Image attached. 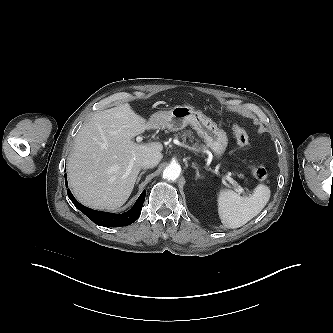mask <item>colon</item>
I'll return each instance as SVG.
<instances>
[{"instance_id":"5ec220e1","label":"colon","mask_w":333,"mask_h":333,"mask_svg":"<svg viewBox=\"0 0 333 333\" xmlns=\"http://www.w3.org/2000/svg\"><path fill=\"white\" fill-rule=\"evenodd\" d=\"M232 132L235 136L238 146L242 149H246L249 145V137L246 131L238 124L232 125ZM252 175L259 181H264L268 177L266 168L262 165H256L252 168Z\"/></svg>"}]
</instances>
